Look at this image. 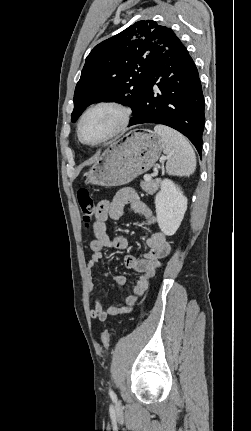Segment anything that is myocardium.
Listing matches in <instances>:
<instances>
[{"label":"myocardium","instance_id":"f54148a6","mask_svg":"<svg viewBox=\"0 0 251 431\" xmlns=\"http://www.w3.org/2000/svg\"><path fill=\"white\" fill-rule=\"evenodd\" d=\"M100 108H111L116 110L119 113V120L118 123L116 124V126L111 130V132L106 135L104 138H102L101 140L94 142V143H89L87 141H85L82 137L81 134V128H82V124L86 118V116L97 109ZM132 116V112L130 110V108H128L126 105L118 102V101H114V100H103V101H99L91 106H89L81 115L79 121H78V125H77V136L78 139L80 140L81 143H83L84 145L90 146V147H95V146H99L101 144H104L106 142H108L109 140L113 139L114 137H116L117 135H119L120 133H122L126 127L128 126L130 119Z\"/></svg>","mask_w":251,"mask_h":431}]
</instances>
